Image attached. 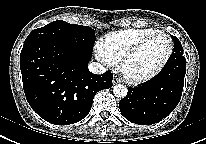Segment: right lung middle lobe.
I'll use <instances>...</instances> for the list:
<instances>
[{
  "instance_id": "dd1d6c3e",
  "label": "right lung middle lobe",
  "mask_w": 206,
  "mask_h": 144,
  "mask_svg": "<svg viewBox=\"0 0 206 144\" xmlns=\"http://www.w3.org/2000/svg\"><path fill=\"white\" fill-rule=\"evenodd\" d=\"M39 40L63 43L92 52L95 31L88 26L73 25L57 20L33 30L26 38L24 44Z\"/></svg>"
}]
</instances>
